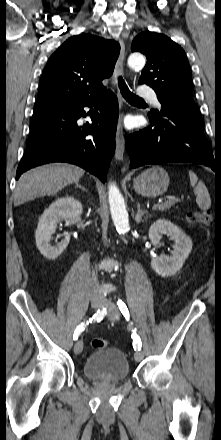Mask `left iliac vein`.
Masks as SVG:
<instances>
[{"label":"left iliac vein","instance_id":"1","mask_svg":"<svg viewBox=\"0 0 221 440\" xmlns=\"http://www.w3.org/2000/svg\"><path fill=\"white\" fill-rule=\"evenodd\" d=\"M104 304L108 308V318L112 321L118 320L120 313L117 306L111 300H104ZM134 358L138 362L141 361L143 359V352L141 350H137L134 354Z\"/></svg>","mask_w":221,"mask_h":440}]
</instances>
